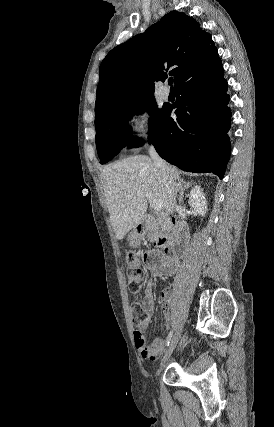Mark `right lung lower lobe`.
Instances as JSON below:
<instances>
[{
    "instance_id": "1",
    "label": "right lung lower lobe",
    "mask_w": 274,
    "mask_h": 427,
    "mask_svg": "<svg viewBox=\"0 0 274 427\" xmlns=\"http://www.w3.org/2000/svg\"><path fill=\"white\" fill-rule=\"evenodd\" d=\"M175 91L176 103L166 106L150 129L149 142L163 159L180 169L212 172L222 179L230 156L231 111L221 63L190 74ZM174 108L175 120L170 118Z\"/></svg>"
}]
</instances>
